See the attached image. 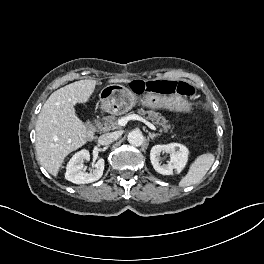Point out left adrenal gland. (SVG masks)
<instances>
[{
    "label": "left adrenal gland",
    "instance_id": "obj_1",
    "mask_svg": "<svg viewBox=\"0 0 264 264\" xmlns=\"http://www.w3.org/2000/svg\"><path fill=\"white\" fill-rule=\"evenodd\" d=\"M161 134H159V133H150L149 132V137L151 138V139H154L156 136H160Z\"/></svg>",
    "mask_w": 264,
    "mask_h": 264
}]
</instances>
